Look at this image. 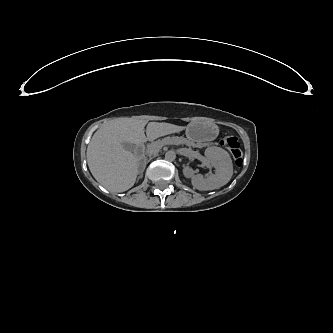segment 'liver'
Instances as JSON below:
<instances>
[{
	"label": "liver",
	"instance_id": "6515ba94",
	"mask_svg": "<svg viewBox=\"0 0 333 333\" xmlns=\"http://www.w3.org/2000/svg\"><path fill=\"white\" fill-rule=\"evenodd\" d=\"M153 139L148 134L120 137L98 134L87 147V162L93 177L105 188L122 192L131 188L138 174V158L122 143L142 144Z\"/></svg>",
	"mask_w": 333,
	"mask_h": 333
}]
</instances>
